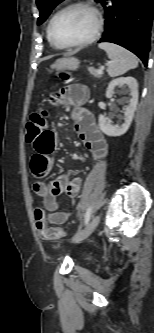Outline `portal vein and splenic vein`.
Here are the masks:
<instances>
[{"mask_svg":"<svg viewBox=\"0 0 154 333\" xmlns=\"http://www.w3.org/2000/svg\"><path fill=\"white\" fill-rule=\"evenodd\" d=\"M103 70H104V66H100L98 69V72L101 74V73H103Z\"/></svg>","mask_w":154,"mask_h":333,"instance_id":"18ae733b","label":"portal vein and splenic vein"}]
</instances>
